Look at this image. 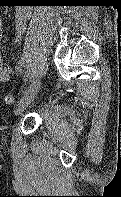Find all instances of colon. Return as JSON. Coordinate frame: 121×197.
<instances>
[{
    "mask_svg": "<svg viewBox=\"0 0 121 197\" xmlns=\"http://www.w3.org/2000/svg\"><path fill=\"white\" fill-rule=\"evenodd\" d=\"M2 100L6 105H12L15 102L14 96L9 92L3 93Z\"/></svg>",
    "mask_w": 121,
    "mask_h": 197,
    "instance_id": "5ec220e1",
    "label": "colon"
}]
</instances>
